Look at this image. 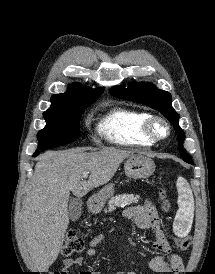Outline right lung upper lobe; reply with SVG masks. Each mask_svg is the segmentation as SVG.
<instances>
[{"label": "right lung upper lobe", "mask_w": 215, "mask_h": 274, "mask_svg": "<svg viewBox=\"0 0 215 274\" xmlns=\"http://www.w3.org/2000/svg\"><path fill=\"white\" fill-rule=\"evenodd\" d=\"M104 91V88L100 89H88L82 87L79 84L69 86L68 92L64 94H55L52 98V102H66L75 106H82L93 103Z\"/></svg>", "instance_id": "right-lung-upper-lobe-1"}]
</instances>
